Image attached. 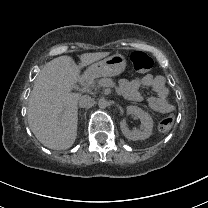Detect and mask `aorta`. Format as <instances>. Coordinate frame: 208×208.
<instances>
[{"instance_id": "obj_1", "label": "aorta", "mask_w": 208, "mask_h": 208, "mask_svg": "<svg viewBox=\"0 0 208 208\" xmlns=\"http://www.w3.org/2000/svg\"><path fill=\"white\" fill-rule=\"evenodd\" d=\"M98 104H99V106L100 107H105L106 106V101L103 99V98H100L99 100H98Z\"/></svg>"}]
</instances>
